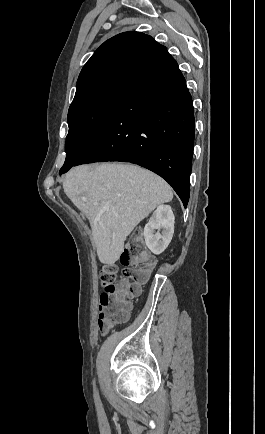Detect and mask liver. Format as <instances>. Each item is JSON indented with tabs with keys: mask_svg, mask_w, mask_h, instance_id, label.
<instances>
[{
	"mask_svg": "<svg viewBox=\"0 0 265 434\" xmlns=\"http://www.w3.org/2000/svg\"><path fill=\"white\" fill-rule=\"evenodd\" d=\"M63 190L88 218L97 256L109 266L119 260L135 226L173 198L165 180L130 164L72 168L63 180Z\"/></svg>",
	"mask_w": 265,
	"mask_h": 434,
	"instance_id": "1",
	"label": "liver"
}]
</instances>
